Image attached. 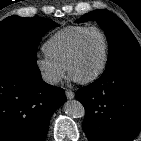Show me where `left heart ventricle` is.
<instances>
[{"label": "left heart ventricle", "instance_id": "obj_1", "mask_svg": "<svg viewBox=\"0 0 141 141\" xmlns=\"http://www.w3.org/2000/svg\"><path fill=\"white\" fill-rule=\"evenodd\" d=\"M104 58V40L100 33L91 31L82 41L78 56L71 66V75L85 79L93 75L101 66Z\"/></svg>", "mask_w": 141, "mask_h": 141}]
</instances>
